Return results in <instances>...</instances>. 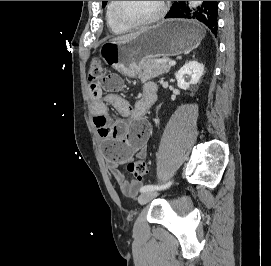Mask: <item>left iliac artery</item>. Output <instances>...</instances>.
Instances as JSON below:
<instances>
[{"mask_svg": "<svg viewBox=\"0 0 271 266\" xmlns=\"http://www.w3.org/2000/svg\"><path fill=\"white\" fill-rule=\"evenodd\" d=\"M172 184V182H168L165 185H145L140 189V192L144 193V192H148V191H154V190H159V189H165L167 187H169Z\"/></svg>", "mask_w": 271, "mask_h": 266, "instance_id": "left-iliac-artery-1", "label": "left iliac artery"}]
</instances>
